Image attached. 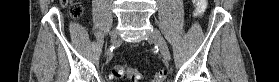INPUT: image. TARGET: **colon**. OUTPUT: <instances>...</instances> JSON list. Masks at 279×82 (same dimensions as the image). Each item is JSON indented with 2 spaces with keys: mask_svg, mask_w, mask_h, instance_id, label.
Here are the masks:
<instances>
[{
  "mask_svg": "<svg viewBox=\"0 0 279 82\" xmlns=\"http://www.w3.org/2000/svg\"><path fill=\"white\" fill-rule=\"evenodd\" d=\"M196 6V12L200 13L202 12L206 5L207 0H194L193 1ZM62 3L64 5L70 6V15L73 18H79L82 15V7L78 1H72V0H62ZM112 75L117 80H125L130 79L133 82H140L143 78V73L133 67H126L125 65H114L112 67ZM167 76V71L160 69L156 72L155 79L153 82H163Z\"/></svg>",
  "mask_w": 279,
  "mask_h": 82,
  "instance_id": "5ec220e1",
  "label": "colon"
}]
</instances>
